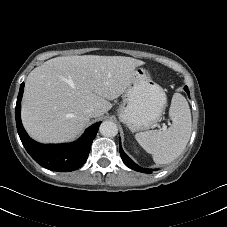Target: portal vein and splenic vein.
I'll return each mask as SVG.
<instances>
[{
	"instance_id": "portal-vein-and-splenic-vein-1",
	"label": "portal vein and splenic vein",
	"mask_w": 227,
	"mask_h": 227,
	"mask_svg": "<svg viewBox=\"0 0 227 227\" xmlns=\"http://www.w3.org/2000/svg\"><path fill=\"white\" fill-rule=\"evenodd\" d=\"M163 129H164V130L166 129V126H165V125H163Z\"/></svg>"
}]
</instances>
